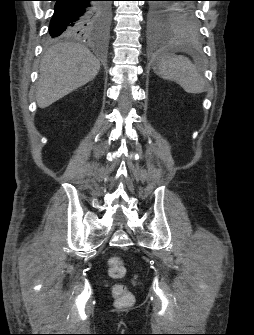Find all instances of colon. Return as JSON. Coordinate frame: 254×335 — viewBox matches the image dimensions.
<instances>
[{"mask_svg": "<svg viewBox=\"0 0 254 335\" xmlns=\"http://www.w3.org/2000/svg\"><path fill=\"white\" fill-rule=\"evenodd\" d=\"M108 273L113 279H122L126 275L125 264L120 258L111 257L108 262ZM113 294L120 306H127L133 302L132 294L121 284L114 286Z\"/></svg>", "mask_w": 254, "mask_h": 335, "instance_id": "1", "label": "colon"}]
</instances>
